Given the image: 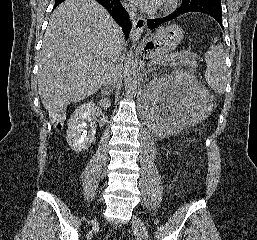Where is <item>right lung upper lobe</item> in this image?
Segmentation results:
<instances>
[{
  "instance_id": "obj_1",
  "label": "right lung upper lobe",
  "mask_w": 257,
  "mask_h": 240,
  "mask_svg": "<svg viewBox=\"0 0 257 240\" xmlns=\"http://www.w3.org/2000/svg\"><path fill=\"white\" fill-rule=\"evenodd\" d=\"M63 1H65V0H56V1H55V5H59V4L62 3Z\"/></svg>"
}]
</instances>
